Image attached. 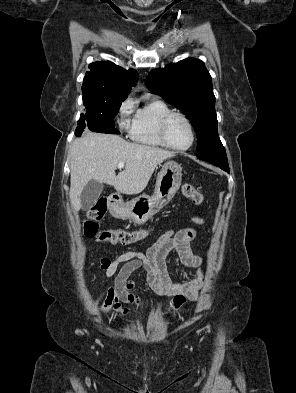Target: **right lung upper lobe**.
I'll return each instance as SVG.
<instances>
[{"instance_id": "right-lung-upper-lobe-1", "label": "right lung upper lobe", "mask_w": 296, "mask_h": 393, "mask_svg": "<svg viewBox=\"0 0 296 393\" xmlns=\"http://www.w3.org/2000/svg\"><path fill=\"white\" fill-rule=\"evenodd\" d=\"M83 80V100L126 99L138 79L135 70H126L110 61H97L89 65Z\"/></svg>"}]
</instances>
